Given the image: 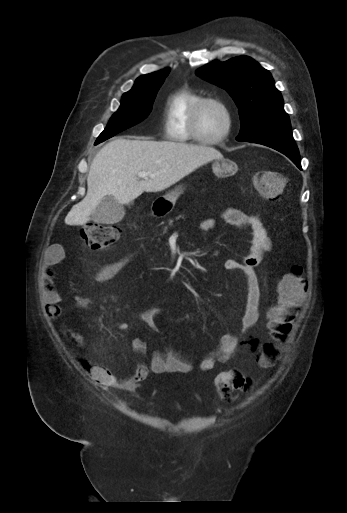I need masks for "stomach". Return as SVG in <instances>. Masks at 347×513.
Returning <instances> with one entry per match:
<instances>
[{"mask_svg": "<svg viewBox=\"0 0 347 513\" xmlns=\"http://www.w3.org/2000/svg\"><path fill=\"white\" fill-rule=\"evenodd\" d=\"M237 164L229 159H219L212 163L213 173L217 177H227L234 174L237 171ZM183 192V186L179 185L174 190L168 192L163 196V200L168 202V206L171 208L174 206L176 199Z\"/></svg>", "mask_w": 347, "mask_h": 513, "instance_id": "0dacf381", "label": "stomach"}]
</instances>
